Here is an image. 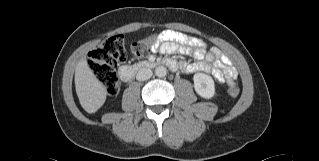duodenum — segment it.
Wrapping results in <instances>:
<instances>
[{"instance_id": "obj_1", "label": "duodenum", "mask_w": 319, "mask_h": 161, "mask_svg": "<svg viewBox=\"0 0 319 161\" xmlns=\"http://www.w3.org/2000/svg\"><path fill=\"white\" fill-rule=\"evenodd\" d=\"M161 66H166L171 71H176L178 69L177 63L170 58L163 59L161 61L149 60V61L140 62L133 66H128V65L121 66L119 68V76L123 82H128L139 71L153 69L155 67H161Z\"/></svg>"}]
</instances>
